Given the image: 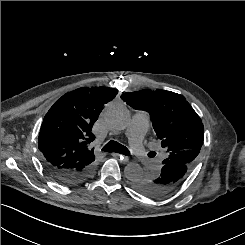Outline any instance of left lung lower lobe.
<instances>
[{"mask_svg":"<svg viewBox=\"0 0 245 245\" xmlns=\"http://www.w3.org/2000/svg\"><path fill=\"white\" fill-rule=\"evenodd\" d=\"M192 166L172 162L163 164L162 169L155 175H143L133 182L134 188L149 197L161 198L176 189L185 181Z\"/></svg>","mask_w":245,"mask_h":245,"instance_id":"1","label":"left lung lower lobe"}]
</instances>
